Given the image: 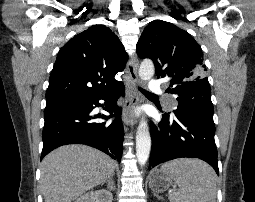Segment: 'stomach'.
I'll list each match as a JSON object with an SVG mask.
<instances>
[{
  "instance_id": "obj_1",
  "label": "stomach",
  "mask_w": 255,
  "mask_h": 202,
  "mask_svg": "<svg viewBox=\"0 0 255 202\" xmlns=\"http://www.w3.org/2000/svg\"><path fill=\"white\" fill-rule=\"evenodd\" d=\"M172 179L161 170H154L149 175V187L155 193H163L170 189Z\"/></svg>"
}]
</instances>
